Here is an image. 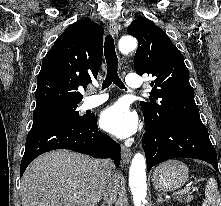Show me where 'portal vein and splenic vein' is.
I'll use <instances>...</instances> for the list:
<instances>
[{"label": "portal vein and splenic vein", "instance_id": "obj_1", "mask_svg": "<svg viewBox=\"0 0 221 206\" xmlns=\"http://www.w3.org/2000/svg\"><path fill=\"white\" fill-rule=\"evenodd\" d=\"M190 189H191V187H186V188L180 190L179 192L172 194L171 196H172V197H176L177 195L185 194V193H187L188 191H190Z\"/></svg>", "mask_w": 221, "mask_h": 206}]
</instances>
